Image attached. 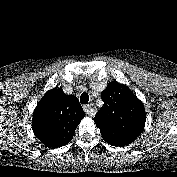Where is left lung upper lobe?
I'll use <instances>...</instances> for the list:
<instances>
[{
  "label": "left lung upper lobe",
  "mask_w": 177,
  "mask_h": 177,
  "mask_svg": "<svg viewBox=\"0 0 177 177\" xmlns=\"http://www.w3.org/2000/svg\"><path fill=\"white\" fill-rule=\"evenodd\" d=\"M104 106L94 117L103 139L113 146L132 143L143 131L146 114L143 103L128 86L113 81L101 93Z\"/></svg>",
  "instance_id": "1"
}]
</instances>
